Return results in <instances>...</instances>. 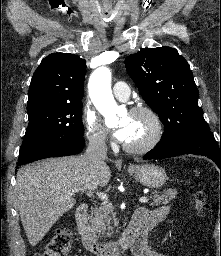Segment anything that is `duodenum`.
Instances as JSON below:
<instances>
[{
    "instance_id": "410a0bca",
    "label": "duodenum",
    "mask_w": 221,
    "mask_h": 256,
    "mask_svg": "<svg viewBox=\"0 0 221 256\" xmlns=\"http://www.w3.org/2000/svg\"><path fill=\"white\" fill-rule=\"evenodd\" d=\"M87 203H82L76 210V227L84 248L95 256H118L123 249L134 245L145 233V220L147 218L143 209L136 210L119 241L99 242L88 225Z\"/></svg>"
}]
</instances>
